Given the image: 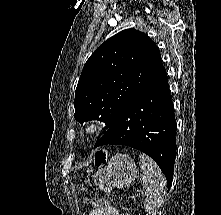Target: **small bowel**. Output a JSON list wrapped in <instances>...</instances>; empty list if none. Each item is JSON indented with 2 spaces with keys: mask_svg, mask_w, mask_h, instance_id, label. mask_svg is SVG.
<instances>
[{
  "mask_svg": "<svg viewBox=\"0 0 221 215\" xmlns=\"http://www.w3.org/2000/svg\"><path fill=\"white\" fill-rule=\"evenodd\" d=\"M87 215H129L120 212L114 207H100L90 211Z\"/></svg>",
  "mask_w": 221,
  "mask_h": 215,
  "instance_id": "1",
  "label": "small bowel"
}]
</instances>
